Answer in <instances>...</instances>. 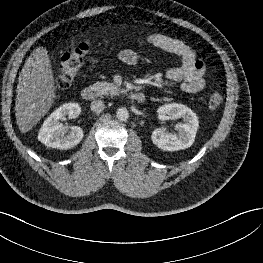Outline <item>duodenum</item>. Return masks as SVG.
<instances>
[{
	"label": "duodenum",
	"mask_w": 263,
	"mask_h": 263,
	"mask_svg": "<svg viewBox=\"0 0 263 263\" xmlns=\"http://www.w3.org/2000/svg\"><path fill=\"white\" fill-rule=\"evenodd\" d=\"M81 96L85 101H92L97 97V90L93 86H86L81 91ZM131 98L139 103H142L145 101V94L143 92H133L131 94Z\"/></svg>",
	"instance_id": "1"
}]
</instances>
